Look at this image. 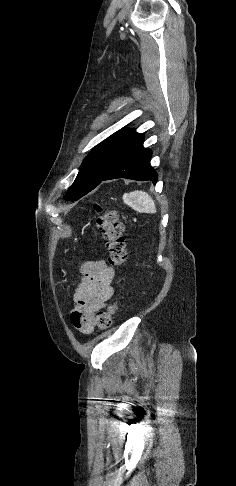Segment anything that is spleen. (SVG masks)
<instances>
[{"instance_id": "1", "label": "spleen", "mask_w": 236, "mask_h": 486, "mask_svg": "<svg viewBox=\"0 0 236 486\" xmlns=\"http://www.w3.org/2000/svg\"><path fill=\"white\" fill-rule=\"evenodd\" d=\"M123 201L140 213H156L154 200L144 191H133L123 195Z\"/></svg>"}]
</instances>
